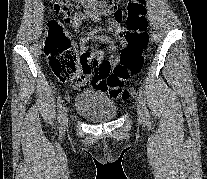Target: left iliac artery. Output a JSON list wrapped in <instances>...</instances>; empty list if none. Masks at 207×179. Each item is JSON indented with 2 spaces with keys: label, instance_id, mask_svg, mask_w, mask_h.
<instances>
[{
  "label": "left iliac artery",
  "instance_id": "1",
  "mask_svg": "<svg viewBox=\"0 0 207 179\" xmlns=\"http://www.w3.org/2000/svg\"><path fill=\"white\" fill-rule=\"evenodd\" d=\"M139 96H140L142 104L144 106L146 119L150 120V115H149L148 110H147L146 105H145V90H144L143 87H140V89H139Z\"/></svg>",
  "mask_w": 207,
  "mask_h": 179
}]
</instances>
